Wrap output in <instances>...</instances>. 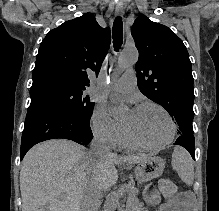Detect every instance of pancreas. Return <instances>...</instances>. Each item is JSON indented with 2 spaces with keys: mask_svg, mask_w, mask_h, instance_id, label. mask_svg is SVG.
<instances>
[{
  "mask_svg": "<svg viewBox=\"0 0 219 211\" xmlns=\"http://www.w3.org/2000/svg\"><path fill=\"white\" fill-rule=\"evenodd\" d=\"M127 203V211H138V208L141 206L140 199L136 198L135 195H129Z\"/></svg>",
  "mask_w": 219,
  "mask_h": 211,
  "instance_id": "cf45deb5",
  "label": "pancreas"
}]
</instances>
